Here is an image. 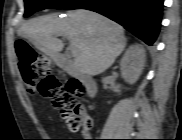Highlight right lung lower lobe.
Returning a JSON list of instances; mask_svg holds the SVG:
<instances>
[{
    "mask_svg": "<svg viewBox=\"0 0 182 140\" xmlns=\"http://www.w3.org/2000/svg\"><path fill=\"white\" fill-rule=\"evenodd\" d=\"M80 8L116 21L151 46L160 30L163 0H90Z\"/></svg>",
    "mask_w": 182,
    "mask_h": 140,
    "instance_id": "1",
    "label": "right lung lower lobe"
}]
</instances>
